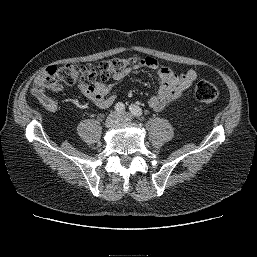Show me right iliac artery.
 I'll list each match as a JSON object with an SVG mask.
<instances>
[{
	"mask_svg": "<svg viewBox=\"0 0 257 257\" xmlns=\"http://www.w3.org/2000/svg\"><path fill=\"white\" fill-rule=\"evenodd\" d=\"M115 109H116L117 112H123L124 109H125V106H124L123 103L119 102V103L116 104Z\"/></svg>",
	"mask_w": 257,
	"mask_h": 257,
	"instance_id": "obj_1",
	"label": "right iliac artery"
}]
</instances>
